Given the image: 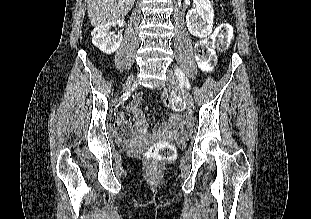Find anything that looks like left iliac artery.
<instances>
[{
  "label": "left iliac artery",
  "instance_id": "44dca946",
  "mask_svg": "<svg viewBox=\"0 0 311 219\" xmlns=\"http://www.w3.org/2000/svg\"><path fill=\"white\" fill-rule=\"evenodd\" d=\"M175 73L178 77L179 82L183 84L187 89H190L191 88L190 82L188 81L182 70L179 68H175Z\"/></svg>",
  "mask_w": 311,
  "mask_h": 219
}]
</instances>
